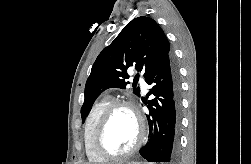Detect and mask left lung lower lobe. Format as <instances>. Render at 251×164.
<instances>
[{"mask_svg": "<svg viewBox=\"0 0 251 164\" xmlns=\"http://www.w3.org/2000/svg\"><path fill=\"white\" fill-rule=\"evenodd\" d=\"M151 85L148 101L149 136L146 145L139 151L148 162L175 163L181 111V87L178 69L172 55L145 79Z\"/></svg>", "mask_w": 251, "mask_h": 164, "instance_id": "0a47b994", "label": "left lung lower lobe"}]
</instances>
